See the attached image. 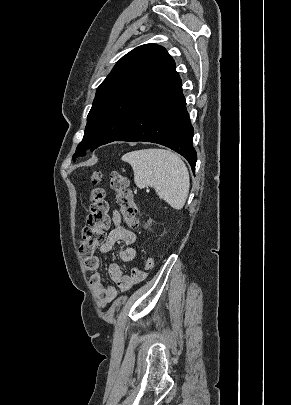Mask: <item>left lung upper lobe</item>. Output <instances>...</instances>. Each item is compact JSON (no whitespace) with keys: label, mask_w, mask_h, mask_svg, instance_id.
Instances as JSON below:
<instances>
[{"label":"left lung upper lobe","mask_w":291,"mask_h":405,"mask_svg":"<svg viewBox=\"0 0 291 405\" xmlns=\"http://www.w3.org/2000/svg\"><path fill=\"white\" fill-rule=\"evenodd\" d=\"M173 63L167 51L156 44L141 45L123 56L97 89L76 151H92L119 138L143 97ZM84 154H74L73 160Z\"/></svg>","instance_id":"left-lung-upper-lobe-1"}]
</instances>
